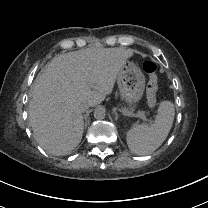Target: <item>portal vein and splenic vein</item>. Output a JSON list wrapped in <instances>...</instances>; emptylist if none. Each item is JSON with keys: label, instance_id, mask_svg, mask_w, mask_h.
Segmentation results:
<instances>
[{"label": "portal vein and splenic vein", "instance_id": "obj_1", "mask_svg": "<svg viewBox=\"0 0 208 208\" xmlns=\"http://www.w3.org/2000/svg\"><path fill=\"white\" fill-rule=\"evenodd\" d=\"M119 111L123 112V114L126 115V116L130 115L131 118L141 117L143 120L147 119V116L144 112H136V113H131L130 114V112H125L123 107H120Z\"/></svg>", "mask_w": 208, "mask_h": 208}]
</instances>
